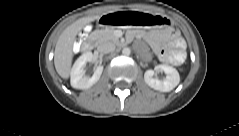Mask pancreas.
I'll list each match as a JSON object with an SVG mask.
<instances>
[{"instance_id":"pancreas-1","label":"pancreas","mask_w":239,"mask_h":136,"mask_svg":"<svg viewBox=\"0 0 239 136\" xmlns=\"http://www.w3.org/2000/svg\"><path fill=\"white\" fill-rule=\"evenodd\" d=\"M93 36L98 40V42L112 41L114 43H119V38L114 34V28L96 30L93 33Z\"/></svg>"}]
</instances>
